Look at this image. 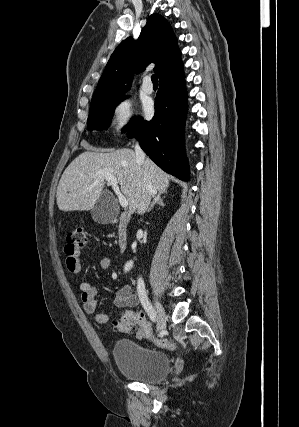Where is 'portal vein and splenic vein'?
Here are the masks:
<instances>
[{"mask_svg": "<svg viewBox=\"0 0 299 427\" xmlns=\"http://www.w3.org/2000/svg\"><path fill=\"white\" fill-rule=\"evenodd\" d=\"M103 175H105V179L108 182V185H111L114 192L116 193L121 207L126 208L128 206V201L126 197L121 193L116 177L109 173H103Z\"/></svg>", "mask_w": 299, "mask_h": 427, "instance_id": "18ae733b", "label": "portal vein and splenic vein"}]
</instances>
